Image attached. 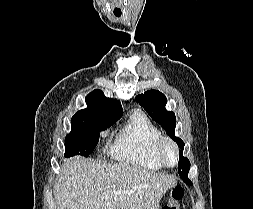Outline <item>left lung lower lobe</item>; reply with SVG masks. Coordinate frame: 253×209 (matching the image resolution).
<instances>
[{"mask_svg":"<svg viewBox=\"0 0 253 209\" xmlns=\"http://www.w3.org/2000/svg\"><path fill=\"white\" fill-rule=\"evenodd\" d=\"M185 183H186V182H185ZM187 184H190V185H191V184H192V182L190 181V182H188Z\"/></svg>","mask_w":253,"mask_h":209,"instance_id":"obj_1","label":"left lung lower lobe"}]
</instances>
